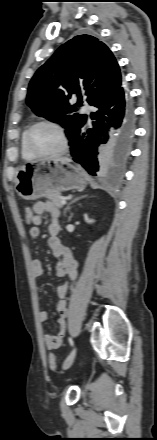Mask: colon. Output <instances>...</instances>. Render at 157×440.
Segmentation results:
<instances>
[{
    "label": "colon",
    "instance_id": "obj_1",
    "mask_svg": "<svg viewBox=\"0 0 157 440\" xmlns=\"http://www.w3.org/2000/svg\"><path fill=\"white\" fill-rule=\"evenodd\" d=\"M23 214H24L25 222L28 225H33L34 220H35V214L33 212V209H31L30 207H26L24 209V213ZM48 362H49L50 369L52 371H56L57 370V360H56V357H55L54 354H50L49 355Z\"/></svg>",
    "mask_w": 157,
    "mask_h": 440
}]
</instances>
